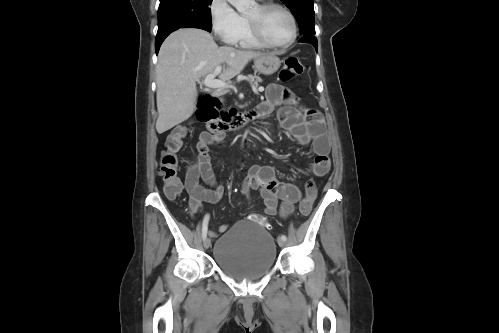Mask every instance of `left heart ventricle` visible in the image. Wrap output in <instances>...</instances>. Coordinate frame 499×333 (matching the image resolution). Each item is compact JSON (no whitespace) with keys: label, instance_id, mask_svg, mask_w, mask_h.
Wrapping results in <instances>:
<instances>
[{"label":"left heart ventricle","instance_id":"obj_1","mask_svg":"<svg viewBox=\"0 0 499 333\" xmlns=\"http://www.w3.org/2000/svg\"><path fill=\"white\" fill-rule=\"evenodd\" d=\"M247 17L258 20L266 38L272 43H284L291 37L292 26L289 17L280 9L273 8L261 12L255 5Z\"/></svg>","mask_w":499,"mask_h":333}]
</instances>
